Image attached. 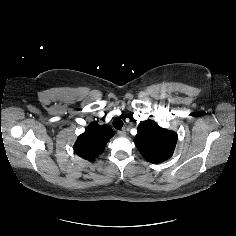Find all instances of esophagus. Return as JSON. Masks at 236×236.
Segmentation results:
<instances>
[{
  "instance_id": "obj_1",
  "label": "esophagus",
  "mask_w": 236,
  "mask_h": 236,
  "mask_svg": "<svg viewBox=\"0 0 236 236\" xmlns=\"http://www.w3.org/2000/svg\"><path fill=\"white\" fill-rule=\"evenodd\" d=\"M117 133L121 137H125L126 136V131L125 130H119Z\"/></svg>"
}]
</instances>
